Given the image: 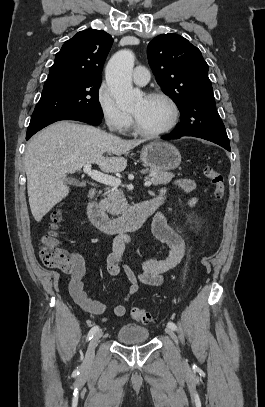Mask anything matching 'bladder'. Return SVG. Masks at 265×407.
Instances as JSON below:
<instances>
[{
  "label": "bladder",
  "instance_id": "bladder-1",
  "mask_svg": "<svg viewBox=\"0 0 265 407\" xmlns=\"http://www.w3.org/2000/svg\"><path fill=\"white\" fill-rule=\"evenodd\" d=\"M150 331L133 323L124 324L117 332V340L122 344H139L149 339Z\"/></svg>",
  "mask_w": 265,
  "mask_h": 407
}]
</instances>
